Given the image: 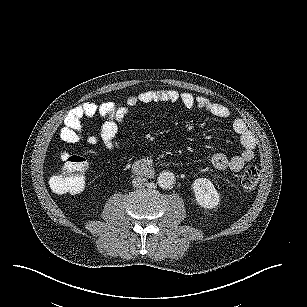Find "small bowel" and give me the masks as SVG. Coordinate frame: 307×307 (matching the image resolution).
I'll list each match as a JSON object with an SVG mask.
<instances>
[{"label": "small bowel", "instance_id": "c3829d8e", "mask_svg": "<svg viewBox=\"0 0 307 307\" xmlns=\"http://www.w3.org/2000/svg\"><path fill=\"white\" fill-rule=\"evenodd\" d=\"M150 103H181L184 107L207 111L213 116L226 119L230 110L224 104L210 100L206 96H195L190 92H178L174 89L148 90L131 95L124 104L106 101L102 103L86 102L72 109L64 119L60 130V138L66 143H76L80 139L82 119L85 117H102L104 119L99 137L109 149L119 146L117 133L119 125L124 121L131 107ZM232 129L238 135L243 151L228 158L222 153H216L211 158L212 166L221 172H239L246 163L255 157L256 141L245 122L240 118L232 121Z\"/></svg>", "mask_w": 307, "mask_h": 307}]
</instances>
